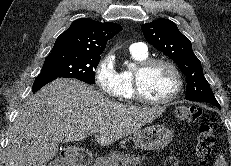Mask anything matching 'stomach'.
<instances>
[{
    "instance_id": "stomach-1",
    "label": "stomach",
    "mask_w": 231,
    "mask_h": 166,
    "mask_svg": "<svg viewBox=\"0 0 231 166\" xmlns=\"http://www.w3.org/2000/svg\"><path fill=\"white\" fill-rule=\"evenodd\" d=\"M172 132L164 125H152L133 134V142L142 150H160L172 140Z\"/></svg>"
}]
</instances>
